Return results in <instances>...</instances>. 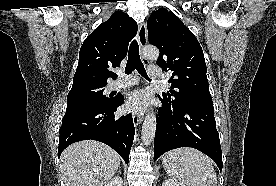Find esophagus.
Returning <instances> with one entry per match:
<instances>
[{"label": "esophagus", "mask_w": 276, "mask_h": 186, "mask_svg": "<svg viewBox=\"0 0 276 186\" xmlns=\"http://www.w3.org/2000/svg\"><path fill=\"white\" fill-rule=\"evenodd\" d=\"M147 42V29L145 23H141L138 28V43L140 48L142 49ZM144 64H148V61L145 58H142ZM133 122L135 127H137L141 121L142 117L138 113H133L132 115Z\"/></svg>", "instance_id": "obj_1"}]
</instances>
